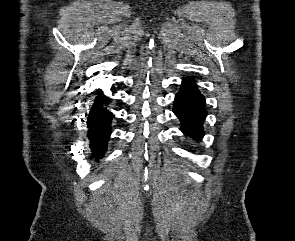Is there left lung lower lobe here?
Here are the masks:
<instances>
[{
  "label": "left lung lower lobe",
  "instance_id": "obj_1",
  "mask_svg": "<svg viewBox=\"0 0 295 241\" xmlns=\"http://www.w3.org/2000/svg\"><path fill=\"white\" fill-rule=\"evenodd\" d=\"M173 112L182 123V132L199 141L204 136L203 122L207 112L205 98L191 77L183 80L181 89L175 96Z\"/></svg>",
  "mask_w": 295,
  "mask_h": 241
}]
</instances>
